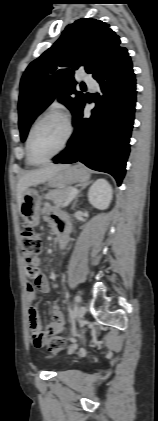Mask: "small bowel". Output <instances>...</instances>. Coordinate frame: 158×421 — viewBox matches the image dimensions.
<instances>
[{
    "label": "small bowel",
    "instance_id": "c3829d8e",
    "mask_svg": "<svg viewBox=\"0 0 158 421\" xmlns=\"http://www.w3.org/2000/svg\"><path fill=\"white\" fill-rule=\"evenodd\" d=\"M44 219L50 224L52 230L67 240L70 237L71 221L68 215L58 212L51 206L46 205L43 209ZM26 276L29 280L26 286V296L30 304L28 310L29 327L33 343L36 347H41L47 337L58 335L63 332L65 317L58 305H53L51 308L52 321L47 327L42 330L39 313L33 305L36 297V291L47 293L49 291V282L47 277L40 272L37 265L34 267H26ZM40 338V343H35V338Z\"/></svg>",
    "mask_w": 158,
    "mask_h": 421
}]
</instances>
